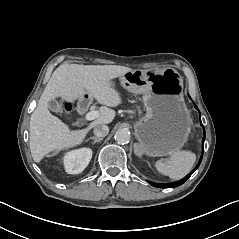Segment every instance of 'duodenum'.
Instances as JSON below:
<instances>
[{
	"label": "duodenum",
	"instance_id": "duodenum-1",
	"mask_svg": "<svg viewBox=\"0 0 239 239\" xmlns=\"http://www.w3.org/2000/svg\"><path fill=\"white\" fill-rule=\"evenodd\" d=\"M89 105H90V100L88 97H83L79 100V103H78V110L81 112V113H84L87 111V109L89 108Z\"/></svg>",
	"mask_w": 239,
	"mask_h": 239
}]
</instances>
